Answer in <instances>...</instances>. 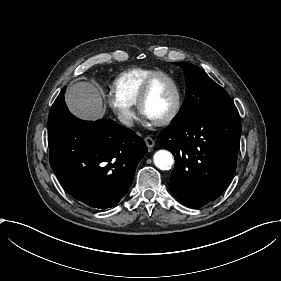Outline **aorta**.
Masks as SVG:
<instances>
[{"label":"aorta","mask_w":281,"mask_h":281,"mask_svg":"<svg viewBox=\"0 0 281 281\" xmlns=\"http://www.w3.org/2000/svg\"><path fill=\"white\" fill-rule=\"evenodd\" d=\"M154 164L161 170H169L174 164V158L168 150H158L154 156Z\"/></svg>","instance_id":"obj_1"}]
</instances>
